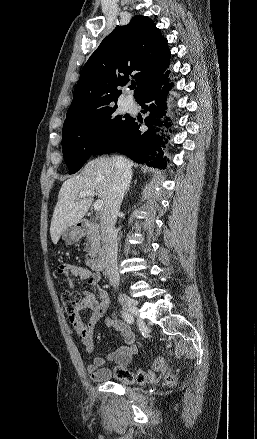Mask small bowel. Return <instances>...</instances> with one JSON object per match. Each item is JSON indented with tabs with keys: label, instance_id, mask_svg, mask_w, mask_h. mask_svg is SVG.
I'll use <instances>...</instances> for the list:
<instances>
[{
	"label": "small bowel",
	"instance_id": "1",
	"mask_svg": "<svg viewBox=\"0 0 257 439\" xmlns=\"http://www.w3.org/2000/svg\"><path fill=\"white\" fill-rule=\"evenodd\" d=\"M58 271L64 277L68 286L72 289L75 288L74 277L85 280L88 285L93 288V291L84 292L83 298L76 306L74 312L68 314V318L77 336L82 341L85 354L91 357L86 365V371L91 380L95 382L107 381L112 378L114 373L110 369L104 367L106 362L115 363L116 372L118 368L125 367L135 354L136 345L133 332L124 321L116 318H108L105 321L106 326L119 332L123 344L109 352L105 358L93 356L95 349L93 341L94 327L103 317L109 306L108 294L99 285L100 276L96 273L90 272L84 267L64 264L60 266ZM86 309L91 311L87 323H85L81 317V312Z\"/></svg>",
	"mask_w": 257,
	"mask_h": 439
}]
</instances>
